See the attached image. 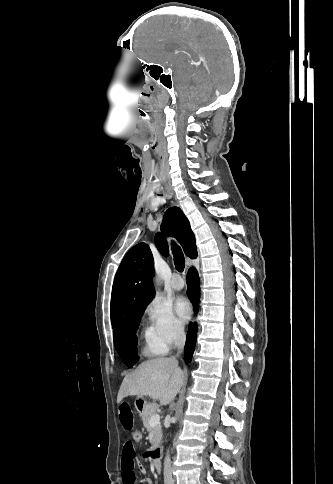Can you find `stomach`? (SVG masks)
<instances>
[{
    "instance_id": "obj_1",
    "label": "stomach",
    "mask_w": 333,
    "mask_h": 484,
    "mask_svg": "<svg viewBox=\"0 0 333 484\" xmlns=\"http://www.w3.org/2000/svg\"><path fill=\"white\" fill-rule=\"evenodd\" d=\"M148 405H149V402H147L146 399H144V398L138 397L135 401V407L137 409V412L140 415H142L146 411Z\"/></svg>"
}]
</instances>
